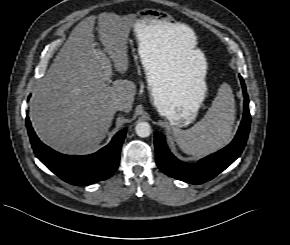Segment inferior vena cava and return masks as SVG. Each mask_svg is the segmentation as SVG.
<instances>
[{"instance_id": "obj_1", "label": "inferior vena cava", "mask_w": 290, "mask_h": 245, "mask_svg": "<svg viewBox=\"0 0 290 245\" xmlns=\"http://www.w3.org/2000/svg\"><path fill=\"white\" fill-rule=\"evenodd\" d=\"M111 108L114 112L116 111H122L124 109L123 104L120 101H115L111 105Z\"/></svg>"}]
</instances>
